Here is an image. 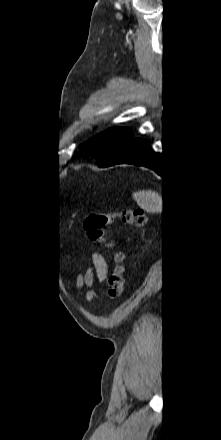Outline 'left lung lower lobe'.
<instances>
[{
  "mask_svg": "<svg viewBox=\"0 0 221 440\" xmlns=\"http://www.w3.org/2000/svg\"><path fill=\"white\" fill-rule=\"evenodd\" d=\"M161 161L162 159L160 156L151 149L149 141L133 136L123 157L113 165L133 164L144 166L154 170L159 175L164 176L166 167Z\"/></svg>",
  "mask_w": 221,
  "mask_h": 440,
  "instance_id": "1",
  "label": "left lung lower lobe"
}]
</instances>
